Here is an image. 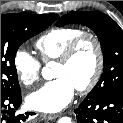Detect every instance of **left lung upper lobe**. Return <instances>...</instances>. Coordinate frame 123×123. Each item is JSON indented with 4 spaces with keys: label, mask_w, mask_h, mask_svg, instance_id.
Listing matches in <instances>:
<instances>
[{
    "label": "left lung upper lobe",
    "mask_w": 123,
    "mask_h": 123,
    "mask_svg": "<svg viewBox=\"0 0 123 123\" xmlns=\"http://www.w3.org/2000/svg\"><path fill=\"white\" fill-rule=\"evenodd\" d=\"M79 23L91 28L101 42L104 57L103 74L89 96L123 91V30L108 15L76 11L62 16L56 26Z\"/></svg>",
    "instance_id": "obj_1"
}]
</instances>
